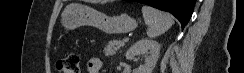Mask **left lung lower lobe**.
Wrapping results in <instances>:
<instances>
[{
	"label": "left lung lower lobe",
	"mask_w": 244,
	"mask_h": 73,
	"mask_svg": "<svg viewBox=\"0 0 244 73\" xmlns=\"http://www.w3.org/2000/svg\"><path fill=\"white\" fill-rule=\"evenodd\" d=\"M133 1V0H131ZM147 4L162 11L170 12L182 24L184 28L189 22L196 0H135Z\"/></svg>",
	"instance_id": "1"
}]
</instances>
